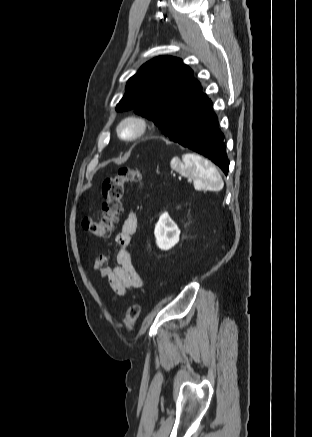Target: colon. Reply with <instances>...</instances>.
Here are the masks:
<instances>
[{"label":"colon","instance_id":"obj_1","mask_svg":"<svg viewBox=\"0 0 312 437\" xmlns=\"http://www.w3.org/2000/svg\"><path fill=\"white\" fill-rule=\"evenodd\" d=\"M129 183H143V176L137 167L120 168L117 175L106 178L102 183V215L98 220L86 217L83 228L91 235L108 238L112 235L122 213L124 186ZM140 314L138 304L130 305L125 313L123 324L127 329L133 328Z\"/></svg>","mask_w":312,"mask_h":437}]
</instances>
